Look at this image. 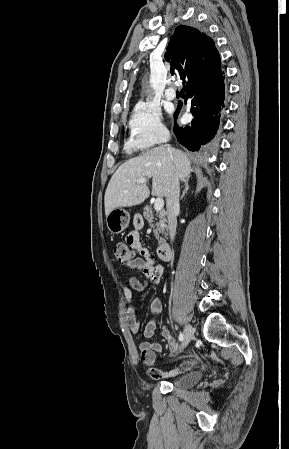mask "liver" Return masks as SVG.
<instances>
[{"label": "liver", "mask_w": 289, "mask_h": 449, "mask_svg": "<svg viewBox=\"0 0 289 449\" xmlns=\"http://www.w3.org/2000/svg\"><path fill=\"white\" fill-rule=\"evenodd\" d=\"M180 180L190 177L191 163L187 155L173 148L156 147L123 163L111 177L104 197L106 216L114 209L141 204L150 195L140 178H152V195L168 196L172 175Z\"/></svg>", "instance_id": "6515ba94"}]
</instances>
